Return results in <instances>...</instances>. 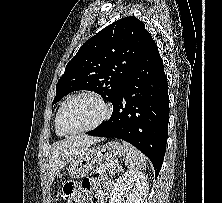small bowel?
Here are the masks:
<instances>
[{"mask_svg":"<svg viewBox=\"0 0 222 203\" xmlns=\"http://www.w3.org/2000/svg\"><path fill=\"white\" fill-rule=\"evenodd\" d=\"M108 190L107 185H100L97 182L83 181L80 185L74 186V194L72 197V203L84 202L85 195L91 194L95 191L98 200L102 203Z\"/></svg>","mask_w":222,"mask_h":203,"instance_id":"small-bowel-1","label":"small bowel"}]
</instances>
